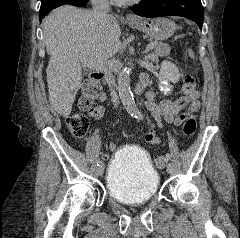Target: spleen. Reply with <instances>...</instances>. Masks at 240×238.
I'll use <instances>...</instances> for the list:
<instances>
[{
  "mask_svg": "<svg viewBox=\"0 0 240 238\" xmlns=\"http://www.w3.org/2000/svg\"><path fill=\"white\" fill-rule=\"evenodd\" d=\"M189 56L194 59V53L192 49H188Z\"/></svg>",
  "mask_w": 240,
  "mask_h": 238,
  "instance_id": "3e777b00",
  "label": "spleen"
}]
</instances>
